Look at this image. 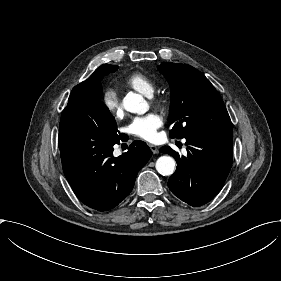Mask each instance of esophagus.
<instances>
[{
  "label": "esophagus",
  "mask_w": 281,
  "mask_h": 281,
  "mask_svg": "<svg viewBox=\"0 0 281 281\" xmlns=\"http://www.w3.org/2000/svg\"><path fill=\"white\" fill-rule=\"evenodd\" d=\"M148 146L150 147L151 151L154 153V154H157L159 152V149L157 146L153 145V144H148Z\"/></svg>",
  "instance_id": "34e87169"
}]
</instances>
